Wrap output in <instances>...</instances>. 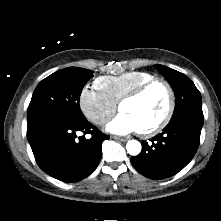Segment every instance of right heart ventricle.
Segmentation results:
<instances>
[{
	"label": "right heart ventricle",
	"mask_w": 221,
	"mask_h": 221,
	"mask_svg": "<svg viewBox=\"0 0 221 221\" xmlns=\"http://www.w3.org/2000/svg\"><path fill=\"white\" fill-rule=\"evenodd\" d=\"M154 78V75L145 71H129L117 76H101L96 79V87L116 104L121 98Z\"/></svg>",
	"instance_id": "right-heart-ventricle-1"
}]
</instances>
